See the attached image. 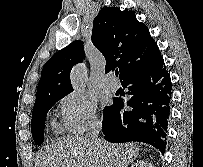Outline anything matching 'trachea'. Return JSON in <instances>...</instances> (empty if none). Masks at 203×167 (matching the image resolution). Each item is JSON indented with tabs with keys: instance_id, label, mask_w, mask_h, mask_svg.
Returning <instances> with one entry per match:
<instances>
[{
	"instance_id": "1",
	"label": "trachea",
	"mask_w": 203,
	"mask_h": 167,
	"mask_svg": "<svg viewBox=\"0 0 203 167\" xmlns=\"http://www.w3.org/2000/svg\"><path fill=\"white\" fill-rule=\"evenodd\" d=\"M118 74H119L118 71H115V75L118 76Z\"/></svg>"
}]
</instances>
